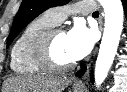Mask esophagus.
<instances>
[{"label":"esophagus","instance_id":"1","mask_svg":"<svg viewBox=\"0 0 127 92\" xmlns=\"http://www.w3.org/2000/svg\"><path fill=\"white\" fill-rule=\"evenodd\" d=\"M74 85L76 86V87H83V82L82 81H76L75 83H74Z\"/></svg>","mask_w":127,"mask_h":92}]
</instances>
